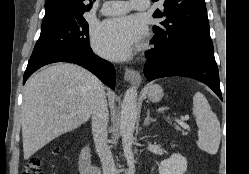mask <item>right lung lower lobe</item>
Instances as JSON below:
<instances>
[{
  "instance_id": "obj_1",
  "label": "right lung lower lobe",
  "mask_w": 249,
  "mask_h": 174,
  "mask_svg": "<svg viewBox=\"0 0 249 174\" xmlns=\"http://www.w3.org/2000/svg\"><path fill=\"white\" fill-rule=\"evenodd\" d=\"M54 62H70L78 64L103 81L110 88L115 87V70L111 63L95 55L91 48L80 50H50L31 56L23 83L40 67Z\"/></svg>"
}]
</instances>
